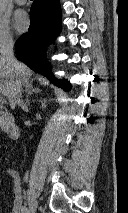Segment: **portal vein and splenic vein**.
Instances as JSON below:
<instances>
[{"label": "portal vein and splenic vein", "mask_w": 128, "mask_h": 213, "mask_svg": "<svg viewBox=\"0 0 128 213\" xmlns=\"http://www.w3.org/2000/svg\"><path fill=\"white\" fill-rule=\"evenodd\" d=\"M6 103V99H4L2 96H0V104H5Z\"/></svg>", "instance_id": "obj_1"}]
</instances>
